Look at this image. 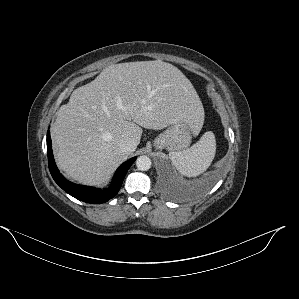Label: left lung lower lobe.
<instances>
[{
    "mask_svg": "<svg viewBox=\"0 0 299 299\" xmlns=\"http://www.w3.org/2000/svg\"><path fill=\"white\" fill-rule=\"evenodd\" d=\"M210 182H212V178L207 179L202 186L206 187L210 184Z\"/></svg>",
    "mask_w": 299,
    "mask_h": 299,
    "instance_id": "obj_1",
    "label": "left lung lower lobe"
}]
</instances>
